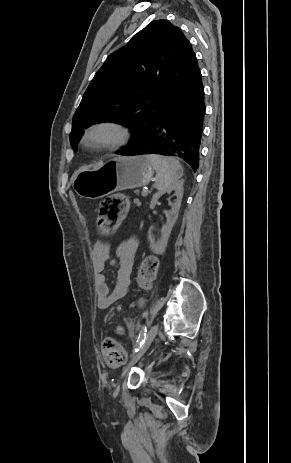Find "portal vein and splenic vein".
Instances as JSON below:
<instances>
[{
  "instance_id": "obj_1",
  "label": "portal vein and splenic vein",
  "mask_w": 291,
  "mask_h": 463,
  "mask_svg": "<svg viewBox=\"0 0 291 463\" xmlns=\"http://www.w3.org/2000/svg\"><path fill=\"white\" fill-rule=\"evenodd\" d=\"M148 192L146 190L142 191V196H147Z\"/></svg>"
}]
</instances>
